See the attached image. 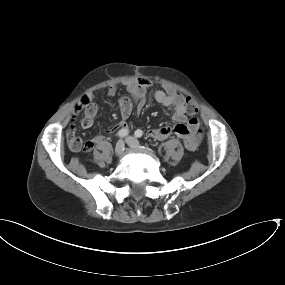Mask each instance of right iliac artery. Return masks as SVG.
I'll list each match as a JSON object with an SVG mask.
<instances>
[{
    "instance_id": "right-iliac-artery-1",
    "label": "right iliac artery",
    "mask_w": 285,
    "mask_h": 285,
    "mask_svg": "<svg viewBox=\"0 0 285 285\" xmlns=\"http://www.w3.org/2000/svg\"><path fill=\"white\" fill-rule=\"evenodd\" d=\"M129 134L128 129H121L118 131L117 136L123 138Z\"/></svg>"
}]
</instances>
